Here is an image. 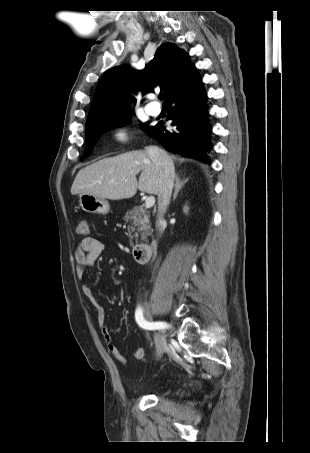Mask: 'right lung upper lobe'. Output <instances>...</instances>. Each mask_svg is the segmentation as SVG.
<instances>
[{"label":"right lung upper lobe","instance_id":"cb5924a9","mask_svg":"<svg viewBox=\"0 0 310 453\" xmlns=\"http://www.w3.org/2000/svg\"><path fill=\"white\" fill-rule=\"evenodd\" d=\"M194 69L195 67L188 62L185 52L171 43L161 45L143 71L138 72L128 65L109 69L97 86L86 129L128 115L131 93H135L138 88L146 93L160 85L166 101Z\"/></svg>","mask_w":310,"mask_h":453}]
</instances>
